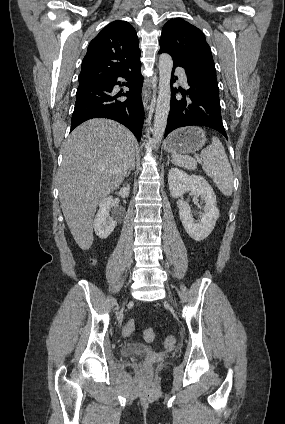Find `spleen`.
<instances>
[{"label":"spleen","mask_w":285,"mask_h":424,"mask_svg":"<svg viewBox=\"0 0 285 424\" xmlns=\"http://www.w3.org/2000/svg\"><path fill=\"white\" fill-rule=\"evenodd\" d=\"M203 170L225 196L233 192V172L221 141L213 136L212 143L201 151ZM173 163L185 169H195L197 162L189 156L173 154Z\"/></svg>","instance_id":"spleen-1"}]
</instances>
